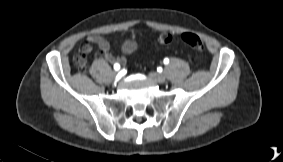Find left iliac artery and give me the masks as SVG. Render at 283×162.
Listing matches in <instances>:
<instances>
[{"instance_id": "obj_1", "label": "left iliac artery", "mask_w": 283, "mask_h": 162, "mask_svg": "<svg viewBox=\"0 0 283 162\" xmlns=\"http://www.w3.org/2000/svg\"><path fill=\"white\" fill-rule=\"evenodd\" d=\"M169 63V59L168 58H165L164 59V64H168Z\"/></svg>"}]
</instances>
